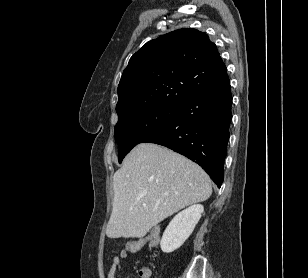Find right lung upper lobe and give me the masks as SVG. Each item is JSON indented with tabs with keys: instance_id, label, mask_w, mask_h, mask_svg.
<instances>
[{
	"instance_id": "right-lung-upper-lobe-1",
	"label": "right lung upper lobe",
	"mask_w": 308,
	"mask_h": 278,
	"mask_svg": "<svg viewBox=\"0 0 308 278\" xmlns=\"http://www.w3.org/2000/svg\"><path fill=\"white\" fill-rule=\"evenodd\" d=\"M227 81L226 66L206 33L193 28L167 33L131 57L118 86V118L152 107H178Z\"/></svg>"
}]
</instances>
